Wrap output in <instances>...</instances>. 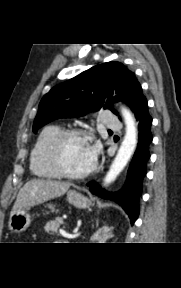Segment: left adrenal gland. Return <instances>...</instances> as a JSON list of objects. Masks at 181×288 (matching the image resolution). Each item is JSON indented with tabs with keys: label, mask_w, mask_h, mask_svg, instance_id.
<instances>
[{
	"label": "left adrenal gland",
	"mask_w": 181,
	"mask_h": 288,
	"mask_svg": "<svg viewBox=\"0 0 181 288\" xmlns=\"http://www.w3.org/2000/svg\"><path fill=\"white\" fill-rule=\"evenodd\" d=\"M113 229H114L113 227L108 226L100 228L96 233H94V235L92 236V240L97 241L98 243L105 241L106 239H108L113 235L112 234Z\"/></svg>",
	"instance_id": "left-adrenal-gland-1"
}]
</instances>
